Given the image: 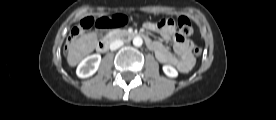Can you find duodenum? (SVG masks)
Returning a JSON list of instances; mask_svg holds the SVG:
<instances>
[{
	"label": "duodenum",
	"mask_w": 276,
	"mask_h": 120,
	"mask_svg": "<svg viewBox=\"0 0 276 120\" xmlns=\"http://www.w3.org/2000/svg\"><path fill=\"white\" fill-rule=\"evenodd\" d=\"M141 37L144 38L146 43L148 44V38L144 34H137V33H113L108 38L101 40L97 43V50L100 52H106L109 49L110 44L118 39H132Z\"/></svg>",
	"instance_id": "1"
}]
</instances>
